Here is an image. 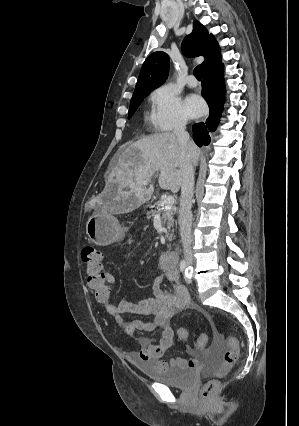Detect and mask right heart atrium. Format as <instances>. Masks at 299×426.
<instances>
[{
	"mask_svg": "<svg viewBox=\"0 0 299 426\" xmlns=\"http://www.w3.org/2000/svg\"><path fill=\"white\" fill-rule=\"evenodd\" d=\"M150 122L159 131L182 128L188 120L179 93L170 85H162L151 94Z\"/></svg>",
	"mask_w": 299,
	"mask_h": 426,
	"instance_id": "right-heart-atrium-1",
	"label": "right heart atrium"
}]
</instances>
